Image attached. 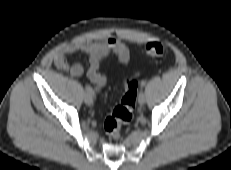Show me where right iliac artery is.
<instances>
[{
  "instance_id": "1",
  "label": "right iliac artery",
  "mask_w": 231,
  "mask_h": 170,
  "mask_svg": "<svg viewBox=\"0 0 231 170\" xmlns=\"http://www.w3.org/2000/svg\"><path fill=\"white\" fill-rule=\"evenodd\" d=\"M85 88H86L87 93H90L94 96V91L89 85H86Z\"/></svg>"
}]
</instances>
